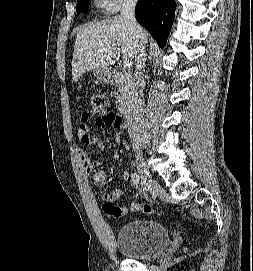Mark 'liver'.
<instances>
[{"mask_svg":"<svg viewBox=\"0 0 253 271\" xmlns=\"http://www.w3.org/2000/svg\"><path fill=\"white\" fill-rule=\"evenodd\" d=\"M137 49L134 32L121 16L87 24L77 30L72 79L77 82L86 71L108 68L121 53L125 60L135 59Z\"/></svg>","mask_w":253,"mask_h":271,"instance_id":"liver-1","label":"liver"}]
</instances>
